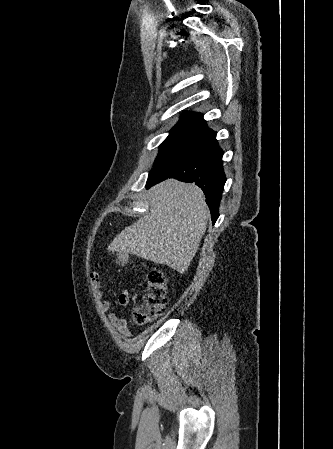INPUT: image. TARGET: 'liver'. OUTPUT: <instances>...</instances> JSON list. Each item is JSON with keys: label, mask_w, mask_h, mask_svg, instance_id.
Segmentation results:
<instances>
[{"label": "liver", "mask_w": 333, "mask_h": 449, "mask_svg": "<svg viewBox=\"0 0 333 449\" xmlns=\"http://www.w3.org/2000/svg\"><path fill=\"white\" fill-rule=\"evenodd\" d=\"M149 195L150 212L116 236L108 250L184 273L206 231L209 210L204 194L195 184L170 179L153 186Z\"/></svg>", "instance_id": "1"}]
</instances>
